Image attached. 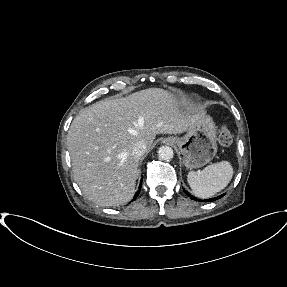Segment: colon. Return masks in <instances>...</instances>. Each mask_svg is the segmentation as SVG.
<instances>
[{"label": "colon", "instance_id": "5ec220e1", "mask_svg": "<svg viewBox=\"0 0 287 287\" xmlns=\"http://www.w3.org/2000/svg\"><path fill=\"white\" fill-rule=\"evenodd\" d=\"M219 143L222 146H229L233 142V135L231 131L229 130L228 127L223 126L219 132V137H218Z\"/></svg>", "mask_w": 287, "mask_h": 287}]
</instances>
